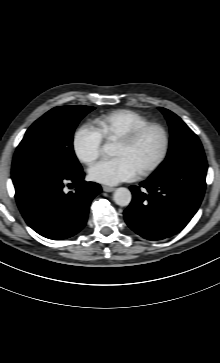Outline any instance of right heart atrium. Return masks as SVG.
Returning a JSON list of instances; mask_svg holds the SVG:
<instances>
[{
  "label": "right heart atrium",
  "mask_w": 220,
  "mask_h": 363,
  "mask_svg": "<svg viewBox=\"0 0 220 363\" xmlns=\"http://www.w3.org/2000/svg\"><path fill=\"white\" fill-rule=\"evenodd\" d=\"M72 148L81 163L91 165L100 156L102 136L88 124L79 125L72 136Z\"/></svg>",
  "instance_id": "d8ad5b80"
}]
</instances>
